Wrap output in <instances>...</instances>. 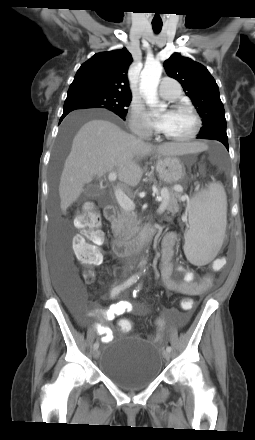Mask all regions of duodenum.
Masks as SVG:
<instances>
[{"label":"duodenum","mask_w":255,"mask_h":440,"mask_svg":"<svg viewBox=\"0 0 255 440\" xmlns=\"http://www.w3.org/2000/svg\"><path fill=\"white\" fill-rule=\"evenodd\" d=\"M116 210L113 205H106L104 216L111 221L115 218ZM158 234V229L153 226L144 228L139 235L131 241L116 238L113 241V251L119 257H126L140 252Z\"/></svg>","instance_id":"1"}]
</instances>
